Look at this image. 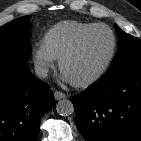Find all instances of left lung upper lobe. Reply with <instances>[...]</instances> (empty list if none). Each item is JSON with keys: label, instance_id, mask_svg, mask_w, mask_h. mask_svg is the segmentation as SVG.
<instances>
[{"label": "left lung upper lobe", "instance_id": "obj_1", "mask_svg": "<svg viewBox=\"0 0 141 141\" xmlns=\"http://www.w3.org/2000/svg\"><path fill=\"white\" fill-rule=\"evenodd\" d=\"M114 26L118 38V50L106 74L141 64V40L127 34L117 25Z\"/></svg>", "mask_w": 141, "mask_h": 141}]
</instances>
